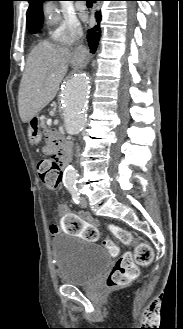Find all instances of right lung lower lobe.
<instances>
[{
	"mask_svg": "<svg viewBox=\"0 0 183 329\" xmlns=\"http://www.w3.org/2000/svg\"><path fill=\"white\" fill-rule=\"evenodd\" d=\"M94 1H101V0H94ZM95 18L97 24L93 28L88 30V35H87L88 45L91 53L96 52L101 37V28H100V22L102 19L101 13L96 12Z\"/></svg>",
	"mask_w": 183,
	"mask_h": 329,
	"instance_id": "obj_1",
	"label": "right lung lower lobe"
}]
</instances>
